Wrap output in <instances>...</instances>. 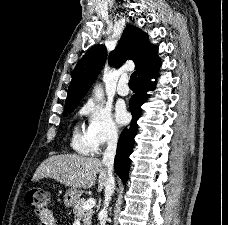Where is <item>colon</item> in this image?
Masks as SVG:
<instances>
[{"mask_svg": "<svg viewBox=\"0 0 228 225\" xmlns=\"http://www.w3.org/2000/svg\"><path fill=\"white\" fill-rule=\"evenodd\" d=\"M25 200L38 217L44 216V211L49 204V194L46 190L40 187H30L26 192Z\"/></svg>", "mask_w": 228, "mask_h": 225, "instance_id": "obj_1", "label": "colon"}]
</instances>
